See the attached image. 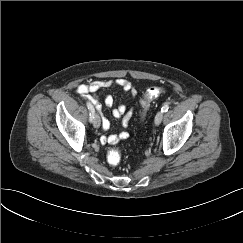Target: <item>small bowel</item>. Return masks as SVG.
Instances as JSON below:
<instances>
[{
	"mask_svg": "<svg viewBox=\"0 0 243 243\" xmlns=\"http://www.w3.org/2000/svg\"><path fill=\"white\" fill-rule=\"evenodd\" d=\"M110 87H120L125 92H128L131 96L136 95V89L133 84L125 79H116V80H96L89 83H82L77 86V93L87 100L91 105H94L98 111L102 108V102L99 96L96 93L101 89H106ZM103 102L107 107H112L114 104V99L111 95H106L103 98ZM112 115L115 118H122L123 127H128L130 119L133 115V110H127L125 105H120L112 110ZM102 127L103 130H108L110 127V122L107 118L102 117ZM128 137L126 131H122L119 134H112L109 136H102L101 142L103 144H117L119 141L124 140Z\"/></svg>",
	"mask_w": 243,
	"mask_h": 243,
	"instance_id": "obj_1",
	"label": "small bowel"
}]
</instances>
